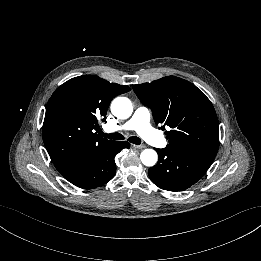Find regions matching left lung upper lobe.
<instances>
[{"mask_svg":"<svg viewBox=\"0 0 261 261\" xmlns=\"http://www.w3.org/2000/svg\"><path fill=\"white\" fill-rule=\"evenodd\" d=\"M133 90L151 109L159 128L168 127L165 134L169 144L165 149L214 160L219 147V122L201 90L175 76L134 85Z\"/></svg>","mask_w":261,"mask_h":261,"instance_id":"obj_1","label":"left lung upper lobe"}]
</instances>
